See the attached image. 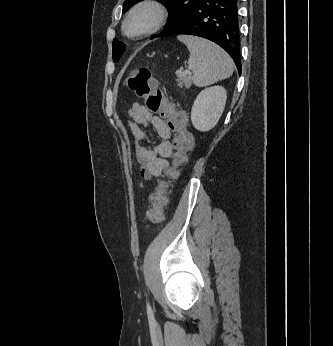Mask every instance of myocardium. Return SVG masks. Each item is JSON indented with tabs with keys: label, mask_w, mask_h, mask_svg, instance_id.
<instances>
[{
	"label": "myocardium",
	"mask_w": 333,
	"mask_h": 346,
	"mask_svg": "<svg viewBox=\"0 0 333 346\" xmlns=\"http://www.w3.org/2000/svg\"><path fill=\"white\" fill-rule=\"evenodd\" d=\"M150 9L155 13L154 22L147 29L137 32L129 33L127 30V24L129 20L140 10ZM169 17V10L166 4L161 0H140L137 2L126 14L121 25L122 33L132 39L142 38L149 35H152L159 31L167 22Z\"/></svg>",
	"instance_id": "obj_1"
}]
</instances>
